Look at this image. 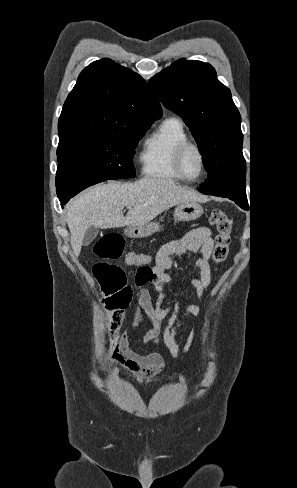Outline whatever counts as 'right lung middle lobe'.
<instances>
[{
    "label": "right lung middle lobe",
    "instance_id": "dd1d6c3e",
    "mask_svg": "<svg viewBox=\"0 0 297 488\" xmlns=\"http://www.w3.org/2000/svg\"><path fill=\"white\" fill-rule=\"evenodd\" d=\"M152 123L119 132L87 133L59 141L56 191L68 201L81 190L109 179L135 177L132 155Z\"/></svg>",
    "mask_w": 297,
    "mask_h": 488
}]
</instances>
